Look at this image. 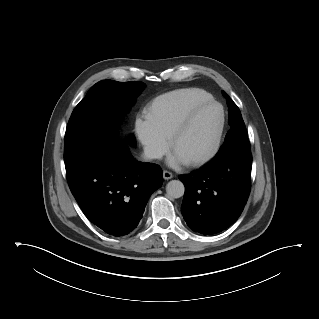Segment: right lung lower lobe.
<instances>
[{"label":"right lung lower lobe","mask_w":319,"mask_h":319,"mask_svg":"<svg viewBox=\"0 0 319 319\" xmlns=\"http://www.w3.org/2000/svg\"><path fill=\"white\" fill-rule=\"evenodd\" d=\"M66 173L85 216L116 237L136 228L150 195L163 183L161 168L134 160L117 136L96 141Z\"/></svg>","instance_id":"98d812e1"}]
</instances>
